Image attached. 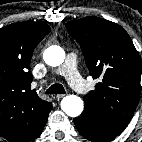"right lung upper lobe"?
<instances>
[{"label":"right lung upper lobe","mask_w":142,"mask_h":142,"mask_svg":"<svg viewBox=\"0 0 142 142\" xmlns=\"http://www.w3.org/2000/svg\"><path fill=\"white\" fill-rule=\"evenodd\" d=\"M50 32L42 22L13 23L0 29V134L29 142L45 125L52 104L31 89L33 50Z\"/></svg>","instance_id":"right-lung-upper-lobe-1"}]
</instances>
